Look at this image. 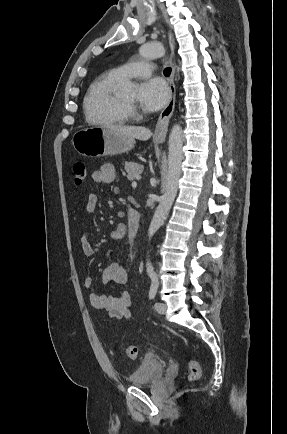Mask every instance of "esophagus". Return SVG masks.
Instances as JSON below:
<instances>
[{
	"label": "esophagus",
	"mask_w": 287,
	"mask_h": 434,
	"mask_svg": "<svg viewBox=\"0 0 287 434\" xmlns=\"http://www.w3.org/2000/svg\"><path fill=\"white\" fill-rule=\"evenodd\" d=\"M168 40H169V46H170L169 62H170L171 68H172L171 76H170V80H169L170 99H169L168 104L165 106V108L160 113L159 119H158L157 124H156L155 137L158 140H164L165 139L167 129H168L169 120H170V118L174 112V108H175L176 88H175V84H174L175 67H174V63H173L175 45H174L173 36L170 32L168 33Z\"/></svg>",
	"instance_id": "esophagus-1"
}]
</instances>
